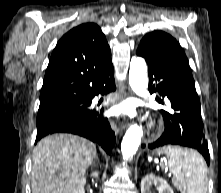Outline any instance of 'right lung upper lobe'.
<instances>
[{
	"mask_svg": "<svg viewBox=\"0 0 221 193\" xmlns=\"http://www.w3.org/2000/svg\"><path fill=\"white\" fill-rule=\"evenodd\" d=\"M112 69L111 51L101 29L94 23L81 24L57 43L45 73L40 102L87 99L94 84Z\"/></svg>",
	"mask_w": 221,
	"mask_h": 193,
	"instance_id": "obj_1",
	"label": "right lung upper lobe"
}]
</instances>
